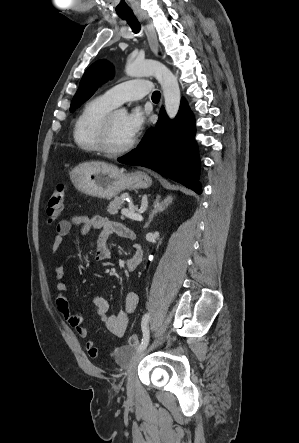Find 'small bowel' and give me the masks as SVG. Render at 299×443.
<instances>
[{
	"label": "small bowel",
	"instance_id": "obj_1",
	"mask_svg": "<svg viewBox=\"0 0 299 443\" xmlns=\"http://www.w3.org/2000/svg\"><path fill=\"white\" fill-rule=\"evenodd\" d=\"M73 226H80L83 234L89 230L99 231L96 246L95 259L97 261H106L111 259L112 253L108 247V240L111 235L115 234L123 238H130L131 229L121 223L112 222L106 217L95 216H73L71 219L62 220L56 226V235L52 244V251L56 254L63 244V239L70 234ZM142 260V254L135 252L126 259V267L129 271H134ZM54 274L57 279L56 288L58 295L56 297V305L58 311L65 318L68 324L74 328L77 335L81 338L89 336V329L83 325V315L81 312L73 313L70 310L69 302L64 294L67 288L65 280V268L61 264H56ZM139 297L134 291H128L124 296L123 309L118 313L108 314L109 304L102 297L93 298V307L106 330L117 338H122L129 325V316L136 310ZM122 347L115 348L111 356L118 358ZM86 350L91 358H98L101 355L100 350L92 340L86 342Z\"/></svg>",
	"mask_w": 299,
	"mask_h": 443
}]
</instances>
